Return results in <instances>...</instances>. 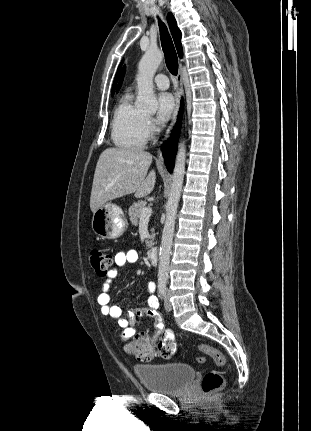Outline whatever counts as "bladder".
<instances>
[{
    "label": "bladder",
    "mask_w": 311,
    "mask_h": 431,
    "mask_svg": "<svg viewBox=\"0 0 311 431\" xmlns=\"http://www.w3.org/2000/svg\"><path fill=\"white\" fill-rule=\"evenodd\" d=\"M134 373L140 383L156 393H182L195 377L194 368L186 363L136 364Z\"/></svg>",
    "instance_id": "bladder-1"
}]
</instances>
